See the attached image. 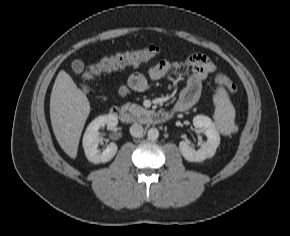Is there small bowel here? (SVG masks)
<instances>
[{"instance_id": "1", "label": "small bowel", "mask_w": 290, "mask_h": 236, "mask_svg": "<svg viewBox=\"0 0 290 236\" xmlns=\"http://www.w3.org/2000/svg\"><path fill=\"white\" fill-rule=\"evenodd\" d=\"M215 70L212 60L202 53H191L180 61L163 60L151 66L146 74L133 73L127 85L118 90V95L125 98L132 92L145 91L149 81L161 80L176 71H188L186 85L173 106L175 111H185L201 99L203 82Z\"/></svg>"}]
</instances>
